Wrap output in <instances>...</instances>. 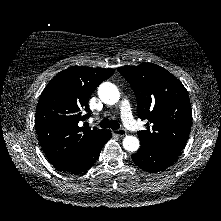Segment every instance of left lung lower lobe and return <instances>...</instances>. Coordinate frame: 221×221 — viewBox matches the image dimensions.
<instances>
[{"label": "left lung lower lobe", "mask_w": 221, "mask_h": 221, "mask_svg": "<svg viewBox=\"0 0 221 221\" xmlns=\"http://www.w3.org/2000/svg\"><path fill=\"white\" fill-rule=\"evenodd\" d=\"M131 158L138 167L153 173L170 167L178 159V156L147 151L140 148L136 154L131 155Z\"/></svg>", "instance_id": "left-lung-lower-lobe-1"}]
</instances>
